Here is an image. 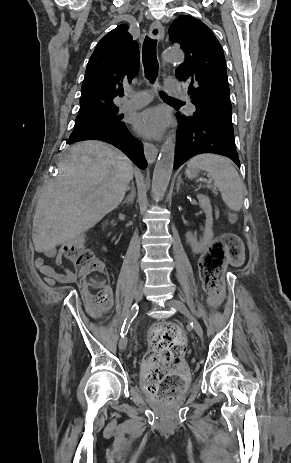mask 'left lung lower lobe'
<instances>
[{"mask_svg": "<svg viewBox=\"0 0 291 463\" xmlns=\"http://www.w3.org/2000/svg\"><path fill=\"white\" fill-rule=\"evenodd\" d=\"M177 119L180 127L177 129L174 169L190 158L205 153L226 156L240 167L232 128L189 118L183 114H178Z\"/></svg>", "mask_w": 291, "mask_h": 463, "instance_id": "left-lung-lower-lobe-1", "label": "left lung lower lobe"}]
</instances>
